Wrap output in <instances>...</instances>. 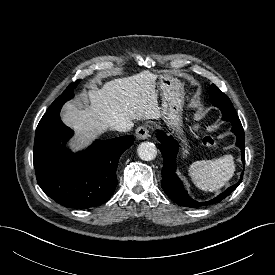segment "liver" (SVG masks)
<instances>
[{
  "label": "liver",
  "instance_id": "6515ba94",
  "mask_svg": "<svg viewBox=\"0 0 275 275\" xmlns=\"http://www.w3.org/2000/svg\"><path fill=\"white\" fill-rule=\"evenodd\" d=\"M156 75L149 71L106 82L88 92L90 105L66 103L62 120L76 132L73 146L79 149L123 121L162 117L156 94Z\"/></svg>",
  "mask_w": 275,
  "mask_h": 275
}]
</instances>
